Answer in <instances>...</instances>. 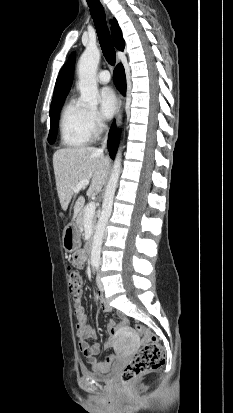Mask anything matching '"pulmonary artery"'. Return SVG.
<instances>
[{"instance_id":"obj_1","label":"pulmonary artery","mask_w":233,"mask_h":413,"mask_svg":"<svg viewBox=\"0 0 233 413\" xmlns=\"http://www.w3.org/2000/svg\"><path fill=\"white\" fill-rule=\"evenodd\" d=\"M97 80L99 83L106 84L111 80V75L109 71L102 70L97 75Z\"/></svg>"}]
</instances>
